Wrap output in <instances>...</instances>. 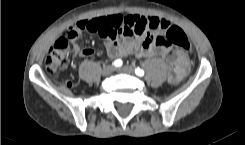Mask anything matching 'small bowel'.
<instances>
[{
	"instance_id": "small-bowel-1",
	"label": "small bowel",
	"mask_w": 245,
	"mask_h": 145,
	"mask_svg": "<svg viewBox=\"0 0 245 145\" xmlns=\"http://www.w3.org/2000/svg\"><path fill=\"white\" fill-rule=\"evenodd\" d=\"M83 27L103 36L107 43L108 54L117 60L131 54L137 58L162 56L171 65L168 81L172 84L183 80L189 70L190 55L187 51L172 49L166 45L157 46L154 42L155 35H163L170 28V23L166 19L140 14L126 16L116 14L82 20L69 28L76 30V35L70 39L73 58L101 54L92 48L79 46ZM119 33L121 37L117 39ZM147 34L150 37H147Z\"/></svg>"
}]
</instances>
